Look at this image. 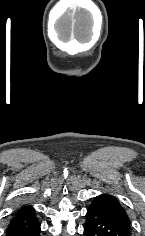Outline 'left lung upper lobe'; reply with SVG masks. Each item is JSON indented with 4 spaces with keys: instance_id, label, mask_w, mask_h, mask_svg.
<instances>
[{
    "instance_id": "left-lung-upper-lobe-1",
    "label": "left lung upper lobe",
    "mask_w": 145,
    "mask_h": 236,
    "mask_svg": "<svg viewBox=\"0 0 145 236\" xmlns=\"http://www.w3.org/2000/svg\"><path fill=\"white\" fill-rule=\"evenodd\" d=\"M90 208L111 216L130 230V219L116 197L109 194L97 196L91 202Z\"/></svg>"
}]
</instances>
